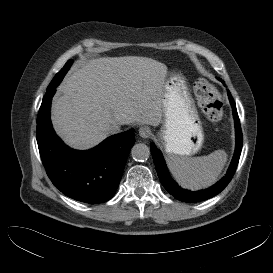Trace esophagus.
Returning <instances> with one entry per match:
<instances>
[{"label": "esophagus", "mask_w": 273, "mask_h": 273, "mask_svg": "<svg viewBox=\"0 0 273 273\" xmlns=\"http://www.w3.org/2000/svg\"><path fill=\"white\" fill-rule=\"evenodd\" d=\"M139 135L142 137V138H149L151 136V130L148 128V127H140L139 128Z\"/></svg>", "instance_id": "esophagus-1"}]
</instances>
